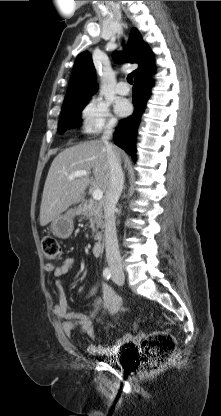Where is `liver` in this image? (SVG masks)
<instances>
[{"label": "liver", "instance_id": "liver-1", "mask_svg": "<svg viewBox=\"0 0 221 416\" xmlns=\"http://www.w3.org/2000/svg\"><path fill=\"white\" fill-rule=\"evenodd\" d=\"M120 162L126 154L114 146ZM93 173L94 178L78 177L69 180L68 176L76 171ZM110 168L107 152L101 140H90L61 151L53 160L44 185L41 206L40 225L45 226L78 203L89 185H96L106 193L109 186Z\"/></svg>", "mask_w": 221, "mask_h": 416}]
</instances>
